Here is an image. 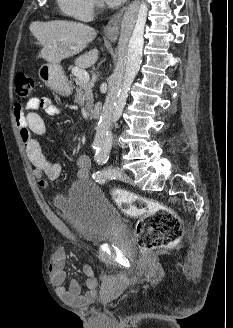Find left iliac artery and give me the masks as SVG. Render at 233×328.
<instances>
[{
	"mask_svg": "<svg viewBox=\"0 0 233 328\" xmlns=\"http://www.w3.org/2000/svg\"><path fill=\"white\" fill-rule=\"evenodd\" d=\"M110 146L98 148L95 154V160L98 164H105L109 159ZM112 175L107 171H97L93 174V179L98 183H104Z\"/></svg>",
	"mask_w": 233,
	"mask_h": 328,
	"instance_id": "44dca946",
	"label": "left iliac artery"
}]
</instances>
